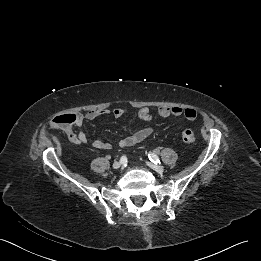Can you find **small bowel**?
Here are the masks:
<instances>
[{
    "label": "small bowel",
    "mask_w": 261,
    "mask_h": 261,
    "mask_svg": "<svg viewBox=\"0 0 261 261\" xmlns=\"http://www.w3.org/2000/svg\"><path fill=\"white\" fill-rule=\"evenodd\" d=\"M127 113V110L124 108H115L112 111H89L85 114L76 113L75 123L67 128H64V133L67 136L68 140L74 144H88V138L86 134L81 130L84 122L93 121L101 116L110 115L116 119H120L124 117ZM158 114L161 117H179L184 116L188 120H195L197 118V111L193 108H182L179 106L168 107L162 106L158 109ZM137 116L139 119L149 122L152 120V114L148 107H141L137 111ZM77 129V131H75ZM153 132L152 127L147 126L142 129L137 130L132 135L121 138L118 141V145L121 148H126L133 146L137 143L142 142L147 137H149ZM90 145L98 150H109L111 148V144L99 139L93 140L90 142Z\"/></svg>",
    "instance_id": "1"
}]
</instances>
